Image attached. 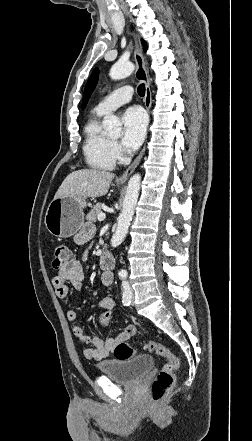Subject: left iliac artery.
I'll use <instances>...</instances> for the list:
<instances>
[{"instance_id": "1", "label": "left iliac artery", "mask_w": 252, "mask_h": 441, "mask_svg": "<svg viewBox=\"0 0 252 441\" xmlns=\"http://www.w3.org/2000/svg\"><path fill=\"white\" fill-rule=\"evenodd\" d=\"M121 276H122V278H126V274H125V273H124V274H122Z\"/></svg>"}]
</instances>
